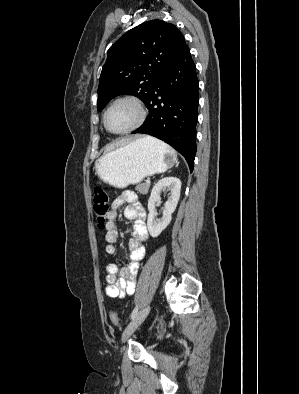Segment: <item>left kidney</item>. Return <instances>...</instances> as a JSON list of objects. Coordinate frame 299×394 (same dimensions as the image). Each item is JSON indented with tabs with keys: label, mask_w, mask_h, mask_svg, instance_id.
Listing matches in <instances>:
<instances>
[{
	"label": "left kidney",
	"mask_w": 299,
	"mask_h": 394,
	"mask_svg": "<svg viewBox=\"0 0 299 394\" xmlns=\"http://www.w3.org/2000/svg\"><path fill=\"white\" fill-rule=\"evenodd\" d=\"M165 189L170 191V196L165 202L162 218L157 219L155 213V204L161 200L160 193ZM180 191L181 181L176 177H165L154 185L148 200L149 214L147 219V227L150 235L153 238L158 237L161 232L170 224L172 213L175 211L180 198Z\"/></svg>",
	"instance_id": "left-kidney-1"
}]
</instances>
